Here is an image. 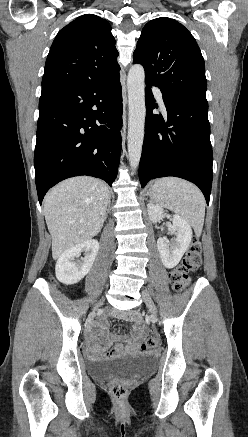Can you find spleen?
Listing matches in <instances>:
<instances>
[{"label": "spleen", "mask_w": 248, "mask_h": 437, "mask_svg": "<svg viewBox=\"0 0 248 437\" xmlns=\"http://www.w3.org/2000/svg\"><path fill=\"white\" fill-rule=\"evenodd\" d=\"M152 190L153 200L160 206L173 210L193 227L197 235L201 234L205 217V199L194 184L180 178L165 177L156 180Z\"/></svg>", "instance_id": "spleen-1"}]
</instances>
